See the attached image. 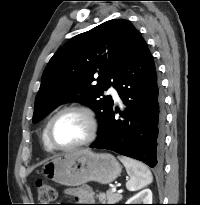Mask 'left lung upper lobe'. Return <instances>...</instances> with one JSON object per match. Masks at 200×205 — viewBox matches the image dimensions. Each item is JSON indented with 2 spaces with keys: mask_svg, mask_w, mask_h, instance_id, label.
<instances>
[{
  "mask_svg": "<svg viewBox=\"0 0 200 205\" xmlns=\"http://www.w3.org/2000/svg\"><path fill=\"white\" fill-rule=\"evenodd\" d=\"M137 34L127 20L114 19L61 46L43 72L33 122L61 103L78 101L96 112L101 128L113 107V99L103 92L114 83Z\"/></svg>",
  "mask_w": 200,
  "mask_h": 205,
  "instance_id": "obj_1",
  "label": "left lung upper lobe"
}]
</instances>
